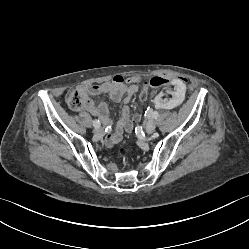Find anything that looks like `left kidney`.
Instances as JSON below:
<instances>
[{
	"mask_svg": "<svg viewBox=\"0 0 249 249\" xmlns=\"http://www.w3.org/2000/svg\"><path fill=\"white\" fill-rule=\"evenodd\" d=\"M183 77L170 79L163 89L154 95V108L156 110L169 111L173 107H180L186 101L188 87Z\"/></svg>",
	"mask_w": 249,
	"mask_h": 249,
	"instance_id": "obj_1",
	"label": "left kidney"
}]
</instances>
